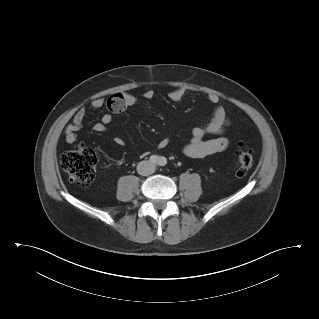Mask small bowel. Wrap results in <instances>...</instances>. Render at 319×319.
Masks as SVG:
<instances>
[{
	"mask_svg": "<svg viewBox=\"0 0 319 319\" xmlns=\"http://www.w3.org/2000/svg\"><path fill=\"white\" fill-rule=\"evenodd\" d=\"M186 93V90L183 88H176L169 93V98L174 101H180ZM118 98L114 105L115 107H121V110L131 107L136 103V96L125 93L119 94ZM143 97L145 99H152L154 97V92L150 89H147L143 92ZM207 100L210 104L213 105V116L212 119L203 126H197L193 128L191 133L190 141L184 146L183 153L186 156L192 158H204L214 153L223 151L228 146V140L223 136H218L212 139L205 140L204 137L206 134L220 135L224 132L225 128L229 124V117L225 108L220 104V98L215 93H210L207 96ZM110 99L106 100L102 97L95 98L91 107L95 110L107 108V112L104 113L101 117V120L94 124L93 130L97 133H103L107 130L108 125L113 120V112H119L121 110H113L110 107ZM86 116L85 108H80L74 115L72 121L66 125L64 129L65 141L69 144L76 142L78 138V133L82 128L83 121ZM114 141L118 145H123L124 141L121 137H115ZM169 141L164 139L158 143L159 149H164L168 146ZM144 152L143 154H146Z\"/></svg>",
	"mask_w": 319,
	"mask_h": 319,
	"instance_id": "small-bowel-1",
	"label": "small bowel"
}]
</instances>
